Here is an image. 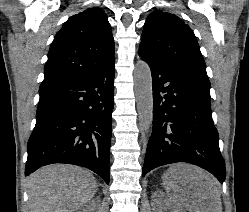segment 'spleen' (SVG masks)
<instances>
[{"instance_id":"obj_1","label":"spleen","mask_w":249,"mask_h":212,"mask_svg":"<svg viewBox=\"0 0 249 212\" xmlns=\"http://www.w3.org/2000/svg\"><path fill=\"white\" fill-rule=\"evenodd\" d=\"M172 172H173V170H171V168H169V170H167L166 174H164L163 186H164L166 192H168V180H170V178L172 176ZM170 188L172 190V184H171ZM170 198H171V196H170Z\"/></svg>"}]
</instances>
